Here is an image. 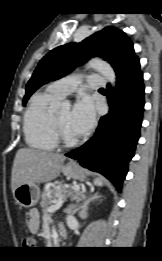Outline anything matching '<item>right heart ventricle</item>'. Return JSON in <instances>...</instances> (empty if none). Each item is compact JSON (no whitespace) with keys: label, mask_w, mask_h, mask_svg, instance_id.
Listing matches in <instances>:
<instances>
[{"label":"right heart ventricle","mask_w":162,"mask_h":261,"mask_svg":"<svg viewBox=\"0 0 162 261\" xmlns=\"http://www.w3.org/2000/svg\"><path fill=\"white\" fill-rule=\"evenodd\" d=\"M60 97L48 89L35 93L24 113L23 131L29 147L52 151L57 147L51 125L53 105Z\"/></svg>","instance_id":"e07e8e85"}]
</instances>
